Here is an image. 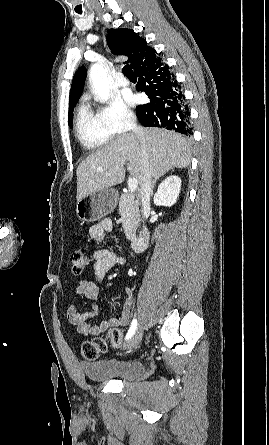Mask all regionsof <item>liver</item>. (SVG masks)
<instances>
[{"instance_id": "1", "label": "liver", "mask_w": 269, "mask_h": 445, "mask_svg": "<svg viewBox=\"0 0 269 445\" xmlns=\"http://www.w3.org/2000/svg\"><path fill=\"white\" fill-rule=\"evenodd\" d=\"M144 143L151 177H160L173 168L190 164V141L181 134L161 128H145ZM141 183L143 160L140 138L125 133L90 154L76 170L77 202L93 192L124 181L125 168Z\"/></svg>"}]
</instances>
